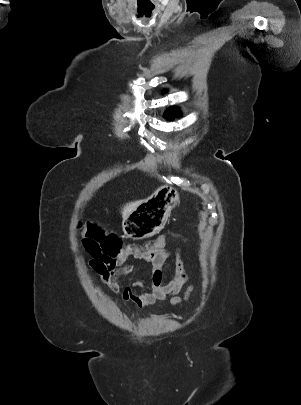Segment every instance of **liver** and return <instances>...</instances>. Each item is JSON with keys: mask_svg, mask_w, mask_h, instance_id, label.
<instances>
[{"mask_svg": "<svg viewBox=\"0 0 301 405\" xmlns=\"http://www.w3.org/2000/svg\"><path fill=\"white\" fill-rule=\"evenodd\" d=\"M143 201H135L128 203L122 209V217L125 219L132 211H134Z\"/></svg>", "mask_w": 301, "mask_h": 405, "instance_id": "6515ba94", "label": "liver"}]
</instances>
